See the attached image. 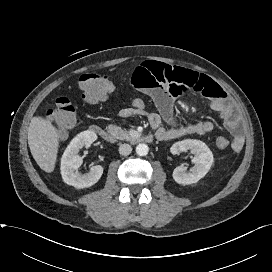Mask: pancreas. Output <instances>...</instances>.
<instances>
[{
    "mask_svg": "<svg viewBox=\"0 0 272 272\" xmlns=\"http://www.w3.org/2000/svg\"><path fill=\"white\" fill-rule=\"evenodd\" d=\"M106 130L115 139L130 140V135L128 134V132L123 130L121 127L110 124L106 127Z\"/></svg>",
    "mask_w": 272,
    "mask_h": 272,
    "instance_id": "pancreas-1",
    "label": "pancreas"
}]
</instances>
